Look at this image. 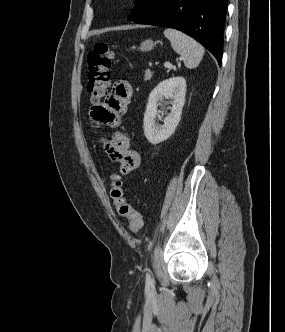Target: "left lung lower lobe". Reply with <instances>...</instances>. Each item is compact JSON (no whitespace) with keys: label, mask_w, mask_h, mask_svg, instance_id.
I'll return each mask as SVG.
<instances>
[{"label":"left lung lower lobe","mask_w":285,"mask_h":332,"mask_svg":"<svg viewBox=\"0 0 285 332\" xmlns=\"http://www.w3.org/2000/svg\"><path fill=\"white\" fill-rule=\"evenodd\" d=\"M227 0H159L137 24L174 28L191 36L222 62Z\"/></svg>","instance_id":"left-lung-lower-lobe-1"}]
</instances>
